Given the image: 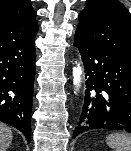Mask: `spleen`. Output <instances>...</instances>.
Here are the masks:
<instances>
[{"label": "spleen", "mask_w": 131, "mask_h": 151, "mask_svg": "<svg viewBox=\"0 0 131 151\" xmlns=\"http://www.w3.org/2000/svg\"><path fill=\"white\" fill-rule=\"evenodd\" d=\"M107 145L114 151H131V137L112 133L106 137Z\"/></svg>", "instance_id": "3e777b00"}]
</instances>
